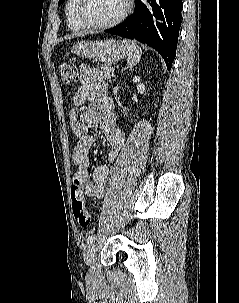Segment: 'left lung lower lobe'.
<instances>
[{
  "label": "left lung lower lobe",
  "mask_w": 239,
  "mask_h": 303,
  "mask_svg": "<svg viewBox=\"0 0 239 303\" xmlns=\"http://www.w3.org/2000/svg\"><path fill=\"white\" fill-rule=\"evenodd\" d=\"M133 15L105 32L135 39L156 49L170 70L181 26L182 0H135Z\"/></svg>",
  "instance_id": "0a47b994"
}]
</instances>
